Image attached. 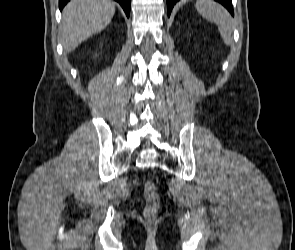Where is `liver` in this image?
<instances>
[{
	"label": "liver",
	"mask_w": 295,
	"mask_h": 250,
	"mask_svg": "<svg viewBox=\"0 0 295 250\" xmlns=\"http://www.w3.org/2000/svg\"><path fill=\"white\" fill-rule=\"evenodd\" d=\"M115 13L110 0H71L63 10L61 33L65 52L76 49L90 36L104 30Z\"/></svg>",
	"instance_id": "6515ba94"
}]
</instances>
